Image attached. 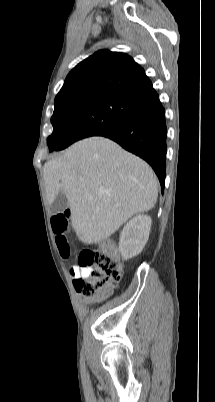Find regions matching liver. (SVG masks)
<instances>
[{
    "label": "liver",
    "instance_id": "liver-1",
    "mask_svg": "<svg viewBox=\"0 0 215 402\" xmlns=\"http://www.w3.org/2000/svg\"><path fill=\"white\" fill-rule=\"evenodd\" d=\"M47 201L63 192L80 241L97 243L129 218L153 208L158 180L152 168L117 143L91 137L71 145L43 168Z\"/></svg>",
    "mask_w": 215,
    "mask_h": 402
}]
</instances>
